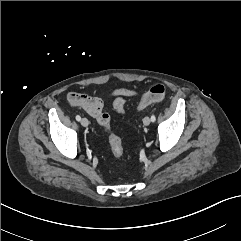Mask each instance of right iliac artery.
<instances>
[{"label":"right iliac artery","instance_id":"1","mask_svg":"<svg viewBox=\"0 0 241 241\" xmlns=\"http://www.w3.org/2000/svg\"><path fill=\"white\" fill-rule=\"evenodd\" d=\"M76 120L77 121H80L81 120V117L79 115H76Z\"/></svg>","mask_w":241,"mask_h":241}]
</instances>
